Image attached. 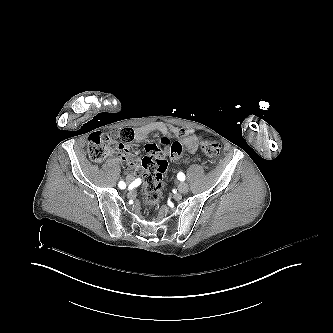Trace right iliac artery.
<instances>
[{
  "instance_id": "right-iliac-artery-1",
  "label": "right iliac artery",
  "mask_w": 333,
  "mask_h": 333,
  "mask_svg": "<svg viewBox=\"0 0 333 333\" xmlns=\"http://www.w3.org/2000/svg\"><path fill=\"white\" fill-rule=\"evenodd\" d=\"M119 187H120L121 189H125V188H126V184H125L123 181H120V182H119Z\"/></svg>"
}]
</instances>
